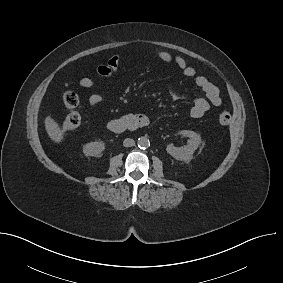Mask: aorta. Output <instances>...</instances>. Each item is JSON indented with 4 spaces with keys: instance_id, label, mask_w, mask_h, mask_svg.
<instances>
[{
    "instance_id": "762f6f07",
    "label": "aorta",
    "mask_w": 283,
    "mask_h": 283,
    "mask_svg": "<svg viewBox=\"0 0 283 283\" xmlns=\"http://www.w3.org/2000/svg\"><path fill=\"white\" fill-rule=\"evenodd\" d=\"M138 147L141 149H146L150 146V141L147 136H141L137 141Z\"/></svg>"
}]
</instances>
